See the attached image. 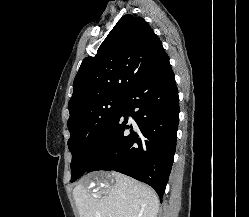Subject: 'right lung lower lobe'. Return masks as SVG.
<instances>
[{
	"mask_svg": "<svg viewBox=\"0 0 249 217\" xmlns=\"http://www.w3.org/2000/svg\"><path fill=\"white\" fill-rule=\"evenodd\" d=\"M178 121V90L165 53L125 96L118 116L88 153L82 172L126 174L150 185L162 200L173 164Z\"/></svg>",
	"mask_w": 249,
	"mask_h": 217,
	"instance_id": "obj_1",
	"label": "right lung lower lobe"
}]
</instances>
